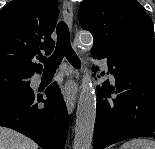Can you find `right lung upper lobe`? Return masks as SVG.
Listing matches in <instances>:
<instances>
[{
    "label": "right lung upper lobe",
    "mask_w": 155,
    "mask_h": 149,
    "mask_svg": "<svg viewBox=\"0 0 155 149\" xmlns=\"http://www.w3.org/2000/svg\"><path fill=\"white\" fill-rule=\"evenodd\" d=\"M59 15L56 0H12L0 11V68L32 75L42 71L34 56L50 54Z\"/></svg>",
    "instance_id": "obj_1"
}]
</instances>
